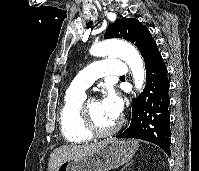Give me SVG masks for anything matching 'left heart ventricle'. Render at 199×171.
Instances as JSON below:
<instances>
[{"label": "left heart ventricle", "mask_w": 199, "mask_h": 171, "mask_svg": "<svg viewBox=\"0 0 199 171\" xmlns=\"http://www.w3.org/2000/svg\"><path fill=\"white\" fill-rule=\"evenodd\" d=\"M89 109L96 121V123L101 127H109L113 125L116 120L109 118L103 111L101 101L93 99L89 102Z\"/></svg>", "instance_id": "left-heart-ventricle-1"}]
</instances>
